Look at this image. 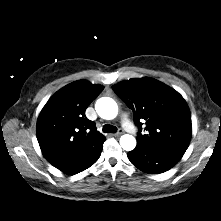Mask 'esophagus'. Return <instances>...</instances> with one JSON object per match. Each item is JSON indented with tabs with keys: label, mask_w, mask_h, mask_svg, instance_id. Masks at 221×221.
Returning a JSON list of instances; mask_svg holds the SVG:
<instances>
[{
	"label": "esophagus",
	"mask_w": 221,
	"mask_h": 221,
	"mask_svg": "<svg viewBox=\"0 0 221 221\" xmlns=\"http://www.w3.org/2000/svg\"><path fill=\"white\" fill-rule=\"evenodd\" d=\"M123 133H124L123 130H122V129H119V131H118L117 133L113 134V136L119 137V136H121Z\"/></svg>",
	"instance_id": "34e87169"
}]
</instances>
